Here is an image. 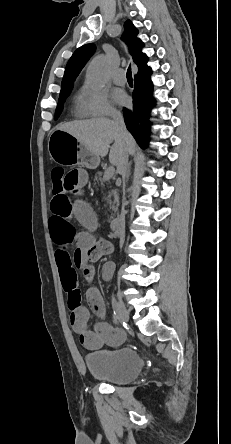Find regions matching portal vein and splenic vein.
<instances>
[{
	"instance_id": "1",
	"label": "portal vein and splenic vein",
	"mask_w": 231,
	"mask_h": 444,
	"mask_svg": "<svg viewBox=\"0 0 231 444\" xmlns=\"http://www.w3.org/2000/svg\"><path fill=\"white\" fill-rule=\"evenodd\" d=\"M114 172L115 168L113 166H109L104 172L103 180L104 181L110 180L113 177Z\"/></svg>"
}]
</instances>
